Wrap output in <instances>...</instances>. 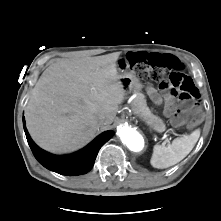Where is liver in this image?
Here are the masks:
<instances>
[{
	"mask_svg": "<svg viewBox=\"0 0 221 221\" xmlns=\"http://www.w3.org/2000/svg\"><path fill=\"white\" fill-rule=\"evenodd\" d=\"M119 55L60 61L42 73L25 109L27 129L41 148L76 150L114 121L126 95L116 68Z\"/></svg>",
	"mask_w": 221,
	"mask_h": 221,
	"instance_id": "obj_1",
	"label": "liver"
}]
</instances>
